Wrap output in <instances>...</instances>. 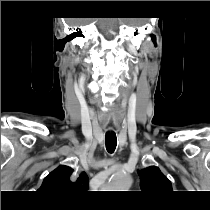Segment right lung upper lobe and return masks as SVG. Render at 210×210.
Instances as JSON below:
<instances>
[{
    "label": "right lung upper lobe",
    "mask_w": 210,
    "mask_h": 210,
    "mask_svg": "<svg viewBox=\"0 0 210 210\" xmlns=\"http://www.w3.org/2000/svg\"><path fill=\"white\" fill-rule=\"evenodd\" d=\"M73 169L61 165L45 177L39 191L58 201L71 200L80 192L87 190L89 178L85 172L81 173L76 181L70 180Z\"/></svg>",
    "instance_id": "right-lung-upper-lobe-1"
}]
</instances>
